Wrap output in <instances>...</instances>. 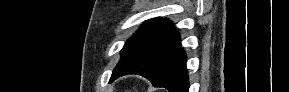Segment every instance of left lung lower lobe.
Returning <instances> with one entry per match:
<instances>
[{"label":"left lung lower lobe","mask_w":289,"mask_h":92,"mask_svg":"<svg viewBox=\"0 0 289 92\" xmlns=\"http://www.w3.org/2000/svg\"><path fill=\"white\" fill-rule=\"evenodd\" d=\"M180 42L179 33L170 27L137 58L114 71L110 81L138 74L150 80L153 86L164 87L169 92H189L186 53Z\"/></svg>","instance_id":"obj_1"}]
</instances>
